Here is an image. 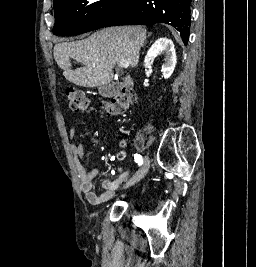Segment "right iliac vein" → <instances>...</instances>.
<instances>
[{
    "mask_svg": "<svg viewBox=\"0 0 256 267\" xmlns=\"http://www.w3.org/2000/svg\"><path fill=\"white\" fill-rule=\"evenodd\" d=\"M150 167V159L149 157H145L143 165L141 168L136 172V174L125 183V188H128L136 183H138L148 172Z\"/></svg>",
    "mask_w": 256,
    "mask_h": 267,
    "instance_id": "obj_1",
    "label": "right iliac vein"
}]
</instances>
